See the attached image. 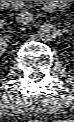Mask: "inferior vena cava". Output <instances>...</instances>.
Returning <instances> with one entry per match:
<instances>
[{"mask_svg": "<svg viewBox=\"0 0 74 122\" xmlns=\"http://www.w3.org/2000/svg\"><path fill=\"white\" fill-rule=\"evenodd\" d=\"M16 20L19 24L30 25L34 21L33 14L28 11H22L16 17Z\"/></svg>", "mask_w": 74, "mask_h": 122, "instance_id": "inferior-vena-cava-1", "label": "inferior vena cava"}]
</instances>
